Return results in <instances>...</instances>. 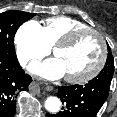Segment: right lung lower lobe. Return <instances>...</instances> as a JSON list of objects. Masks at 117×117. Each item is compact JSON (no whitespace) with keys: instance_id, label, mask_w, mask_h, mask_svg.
<instances>
[{"instance_id":"obj_1","label":"right lung lower lobe","mask_w":117,"mask_h":117,"mask_svg":"<svg viewBox=\"0 0 117 117\" xmlns=\"http://www.w3.org/2000/svg\"><path fill=\"white\" fill-rule=\"evenodd\" d=\"M32 79L17 62H0V117H13L18 92L28 90Z\"/></svg>"}]
</instances>
